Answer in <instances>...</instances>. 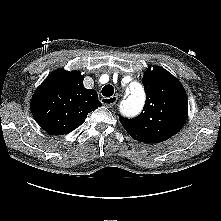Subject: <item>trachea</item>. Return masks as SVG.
<instances>
[{
    "label": "trachea",
    "instance_id": "1",
    "mask_svg": "<svg viewBox=\"0 0 221 221\" xmlns=\"http://www.w3.org/2000/svg\"><path fill=\"white\" fill-rule=\"evenodd\" d=\"M114 94V88L112 85H105L102 88V95L105 97H110Z\"/></svg>",
    "mask_w": 221,
    "mask_h": 221
}]
</instances>
